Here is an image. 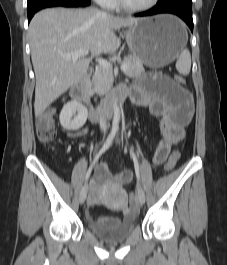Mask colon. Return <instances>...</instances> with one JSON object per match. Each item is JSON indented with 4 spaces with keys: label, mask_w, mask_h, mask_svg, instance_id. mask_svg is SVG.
I'll return each instance as SVG.
<instances>
[{
    "label": "colon",
    "mask_w": 227,
    "mask_h": 265,
    "mask_svg": "<svg viewBox=\"0 0 227 265\" xmlns=\"http://www.w3.org/2000/svg\"><path fill=\"white\" fill-rule=\"evenodd\" d=\"M174 80L178 85H183L185 83V78L180 74L174 75ZM54 116L55 109L49 108L40 113L36 119L37 136L43 143H49L53 141L56 136ZM179 158V150L173 151L164 166V170L166 172L171 171L177 164ZM129 201L131 205L134 206L136 204V196L134 194H130Z\"/></svg>",
    "instance_id": "1"
}]
</instances>
